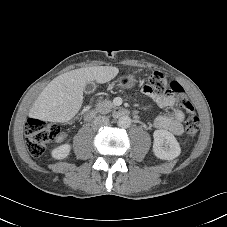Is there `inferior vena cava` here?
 Instances as JSON below:
<instances>
[{"mask_svg":"<svg viewBox=\"0 0 227 227\" xmlns=\"http://www.w3.org/2000/svg\"><path fill=\"white\" fill-rule=\"evenodd\" d=\"M109 124V118L106 116H98L92 122V128L98 129L103 126H107Z\"/></svg>","mask_w":227,"mask_h":227,"instance_id":"obj_1","label":"inferior vena cava"}]
</instances>
